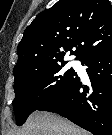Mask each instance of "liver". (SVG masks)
<instances>
[{"mask_svg": "<svg viewBox=\"0 0 112 135\" xmlns=\"http://www.w3.org/2000/svg\"><path fill=\"white\" fill-rule=\"evenodd\" d=\"M17 135H89L88 132L49 112L32 113Z\"/></svg>", "mask_w": 112, "mask_h": 135, "instance_id": "1", "label": "liver"}]
</instances>
